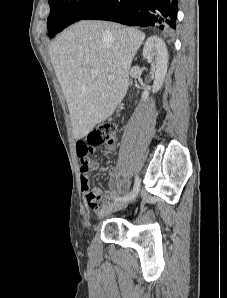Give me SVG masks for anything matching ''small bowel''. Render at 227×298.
<instances>
[{
    "label": "small bowel",
    "mask_w": 227,
    "mask_h": 298,
    "mask_svg": "<svg viewBox=\"0 0 227 298\" xmlns=\"http://www.w3.org/2000/svg\"><path fill=\"white\" fill-rule=\"evenodd\" d=\"M75 147H77V155L81 160V185L82 189L86 195L87 189L84 187V182L87 181L88 190L95 194L97 201L95 204H90L86 200L87 207L91 210H95L100 202L108 201L113 196L117 195L122 187V182L119 176V172L116 168L109 170V190L102 192L100 188L89 185L88 171L99 169V164L97 162L89 161V155H94V146H89L87 139H76ZM111 150L114 149L113 146L109 147ZM86 199V197H85Z\"/></svg>",
    "instance_id": "1"
}]
</instances>
